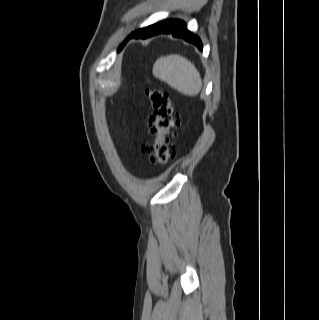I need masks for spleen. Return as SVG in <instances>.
Returning <instances> with one entry per match:
<instances>
[{"label":"spleen","instance_id":"obj_1","mask_svg":"<svg viewBox=\"0 0 319 320\" xmlns=\"http://www.w3.org/2000/svg\"><path fill=\"white\" fill-rule=\"evenodd\" d=\"M153 75L170 87L187 96H196L201 90L202 80L195 65L178 54L157 59Z\"/></svg>","mask_w":319,"mask_h":320}]
</instances>
